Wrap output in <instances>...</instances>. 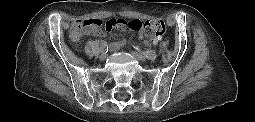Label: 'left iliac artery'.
Segmentation results:
<instances>
[{"instance_id": "44dca946", "label": "left iliac artery", "mask_w": 255, "mask_h": 122, "mask_svg": "<svg viewBox=\"0 0 255 122\" xmlns=\"http://www.w3.org/2000/svg\"><path fill=\"white\" fill-rule=\"evenodd\" d=\"M134 49L136 50H139L140 51V48L136 47V46H133ZM143 54L149 58L150 60H155L156 57H157V54L155 51H152V50H147V51H144Z\"/></svg>"}]
</instances>
